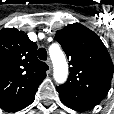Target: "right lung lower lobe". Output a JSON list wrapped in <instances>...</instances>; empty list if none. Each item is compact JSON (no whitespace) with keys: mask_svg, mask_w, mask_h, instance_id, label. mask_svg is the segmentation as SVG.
I'll list each match as a JSON object with an SVG mask.
<instances>
[{"mask_svg":"<svg viewBox=\"0 0 114 114\" xmlns=\"http://www.w3.org/2000/svg\"><path fill=\"white\" fill-rule=\"evenodd\" d=\"M34 99H35V93L24 99H21L15 103L9 104V105L3 107L2 109L7 112L19 111L21 109H24L28 105H30L34 101Z\"/></svg>","mask_w":114,"mask_h":114,"instance_id":"right-lung-lower-lobe-1","label":"right lung lower lobe"}]
</instances>
